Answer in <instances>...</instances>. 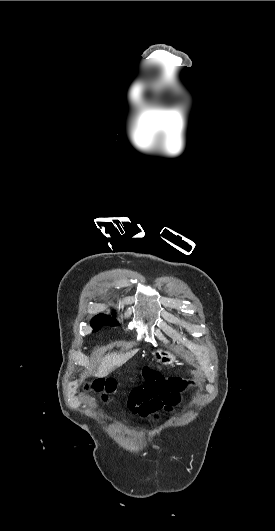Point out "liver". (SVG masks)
I'll use <instances>...</instances> for the list:
<instances>
[{"label": "liver", "mask_w": 275, "mask_h": 531, "mask_svg": "<svg viewBox=\"0 0 275 531\" xmlns=\"http://www.w3.org/2000/svg\"><path fill=\"white\" fill-rule=\"evenodd\" d=\"M137 351H139V349H134V351H130V353H124V355H118V353L105 355V357L101 359L98 371H96L94 377H107L113 369H116V367H122L126 361H129L131 357H134Z\"/></svg>", "instance_id": "1"}]
</instances>
